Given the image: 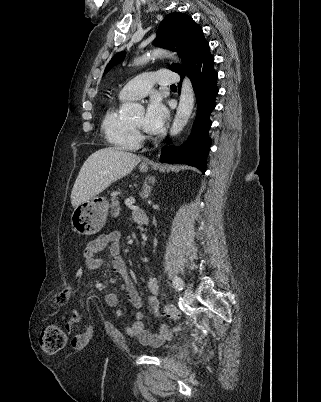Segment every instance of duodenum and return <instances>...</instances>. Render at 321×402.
Returning <instances> with one entry per match:
<instances>
[{"mask_svg": "<svg viewBox=\"0 0 321 402\" xmlns=\"http://www.w3.org/2000/svg\"><path fill=\"white\" fill-rule=\"evenodd\" d=\"M134 218L141 225H146L147 222H148L147 216H146L145 212L142 209H136L135 210Z\"/></svg>", "mask_w": 321, "mask_h": 402, "instance_id": "410a0bca", "label": "duodenum"}]
</instances>
